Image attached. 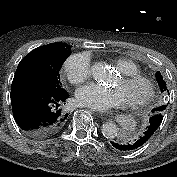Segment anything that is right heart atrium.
I'll use <instances>...</instances> for the list:
<instances>
[{"instance_id": "obj_1", "label": "right heart atrium", "mask_w": 177, "mask_h": 177, "mask_svg": "<svg viewBox=\"0 0 177 177\" xmlns=\"http://www.w3.org/2000/svg\"><path fill=\"white\" fill-rule=\"evenodd\" d=\"M63 69L71 83L80 84L91 75L90 57L86 53L73 54L67 58Z\"/></svg>"}]
</instances>
